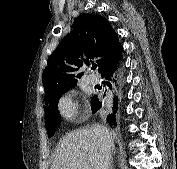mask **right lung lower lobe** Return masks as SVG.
Segmentation results:
<instances>
[{
    "label": "right lung lower lobe",
    "instance_id": "right-lung-lower-lobe-1",
    "mask_svg": "<svg viewBox=\"0 0 177 169\" xmlns=\"http://www.w3.org/2000/svg\"><path fill=\"white\" fill-rule=\"evenodd\" d=\"M120 61L114 65L105 68L101 72V76L106 79V85L114 92L112 106L110 107L108 113L105 116L106 121L114 126L117 125V120L119 112L121 110L122 102V70ZM101 108L102 102H100L97 96H94L91 101L92 112L95 113Z\"/></svg>",
    "mask_w": 177,
    "mask_h": 169
}]
</instances>
